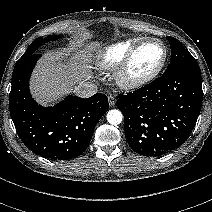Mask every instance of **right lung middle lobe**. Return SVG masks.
Segmentation results:
<instances>
[{"instance_id":"dd1d6c3e","label":"right lung middle lobe","mask_w":212,"mask_h":212,"mask_svg":"<svg viewBox=\"0 0 212 212\" xmlns=\"http://www.w3.org/2000/svg\"><path fill=\"white\" fill-rule=\"evenodd\" d=\"M60 38L59 35H49L48 38H37L32 44L28 47L26 52L23 54V56L20 59H24L25 57H28L29 55L33 54L36 49L41 46L42 44L49 42V41H54Z\"/></svg>"}]
</instances>
